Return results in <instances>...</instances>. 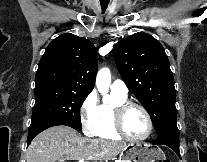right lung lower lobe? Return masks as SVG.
Wrapping results in <instances>:
<instances>
[{
	"label": "right lung lower lobe",
	"mask_w": 207,
	"mask_h": 162,
	"mask_svg": "<svg viewBox=\"0 0 207 162\" xmlns=\"http://www.w3.org/2000/svg\"><path fill=\"white\" fill-rule=\"evenodd\" d=\"M57 125L70 126L66 122H63V121H60V120H55V119H41V120H37L35 122H32L31 125H30V127H29V131H28L27 145L40 132H42L43 130H45V129L49 128V127L57 126Z\"/></svg>",
	"instance_id": "98d812e1"
}]
</instances>
